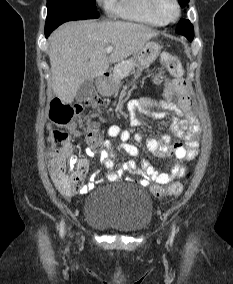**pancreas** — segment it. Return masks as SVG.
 <instances>
[{
	"mask_svg": "<svg viewBox=\"0 0 233 284\" xmlns=\"http://www.w3.org/2000/svg\"><path fill=\"white\" fill-rule=\"evenodd\" d=\"M135 62L133 59L122 61L115 67V75L118 79H122L129 75L130 71L134 69Z\"/></svg>",
	"mask_w": 233,
	"mask_h": 284,
	"instance_id": "pancreas-1",
	"label": "pancreas"
}]
</instances>
